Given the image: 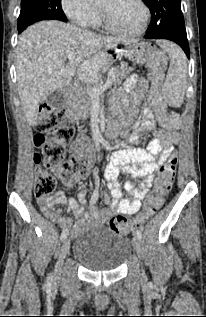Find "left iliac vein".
I'll list each match as a JSON object with an SVG mask.
<instances>
[{"label": "left iliac vein", "mask_w": 206, "mask_h": 317, "mask_svg": "<svg viewBox=\"0 0 206 317\" xmlns=\"http://www.w3.org/2000/svg\"><path fill=\"white\" fill-rule=\"evenodd\" d=\"M132 243H133V247H134L136 253L140 256V254H141L140 240L137 237H134L132 240ZM142 276L144 277V274H142Z\"/></svg>", "instance_id": "obj_1"}]
</instances>
